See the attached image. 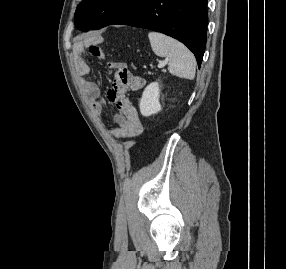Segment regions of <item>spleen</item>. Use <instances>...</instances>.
<instances>
[{"instance_id":"spleen-1","label":"spleen","mask_w":286,"mask_h":269,"mask_svg":"<svg viewBox=\"0 0 286 269\" xmlns=\"http://www.w3.org/2000/svg\"><path fill=\"white\" fill-rule=\"evenodd\" d=\"M148 37L153 52L169 61L168 71L172 75L188 80L195 78L196 60L185 45L158 32H150Z\"/></svg>"}]
</instances>
